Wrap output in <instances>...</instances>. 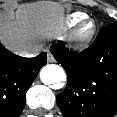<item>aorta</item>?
Masks as SVG:
<instances>
[{"instance_id":"aorta-1","label":"aorta","mask_w":117,"mask_h":117,"mask_svg":"<svg viewBox=\"0 0 117 117\" xmlns=\"http://www.w3.org/2000/svg\"><path fill=\"white\" fill-rule=\"evenodd\" d=\"M40 79L45 85L57 84L66 80L62 67L56 64L44 66L40 71Z\"/></svg>"}]
</instances>
